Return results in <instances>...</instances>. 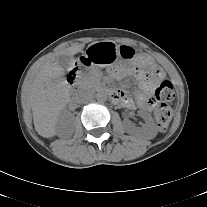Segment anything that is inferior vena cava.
Segmentation results:
<instances>
[{"label":"inferior vena cava","instance_id":"inferior-vena-cava-1","mask_svg":"<svg viewBox=\"0 0 207 207\" xmlns=\"http://www.w3.org/2000/svg\"><path fill=\"white\" fill-rule=\"evenodd\" d=\"M93 98V94L90 91H80L75 96V101L78 104H86Z\"/></svg>","mask_w":207,"mask_h":207}]
</instances>
